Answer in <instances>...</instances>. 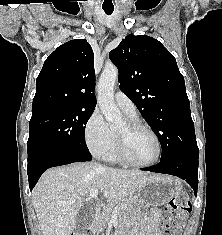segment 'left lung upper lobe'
I'll list each match as a JSON object with an SVG mask.
<instances>
[{
  "label": "left lung upper lobe",
  "mask_w": 222,
  "mask_h": 235,
  "mask_svg": "<svg viewBox=\"0 0 222 235\" xmlns=\"http://www.w3.org/2000/svg\"><path fill=\"white\" fill-rule=\"evenodd\" d=\"M109 57L119 70L121 91L160 140V160L199 153L184 78L163 44L149 36L128 35Z\"/></svg>",
  "instance_id": "obj_1"
}]
</instances>
